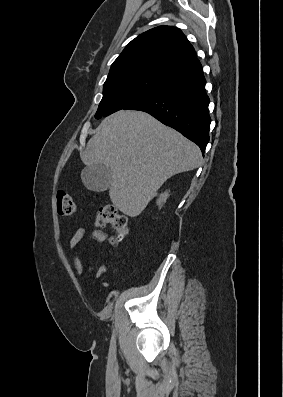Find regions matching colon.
I'll return each instance as SVG.
<instances>
[{"label":"colon","instance_id":"colon-1","mask_svg":"<svg viewBox=\"0 0 283 397\" xmlns=\"http://www.w3.org/2000/svg\"><path fill=\"white\" fill-rule=\"evenodd\" d=\"M56 198L57 210L60 215L70 216L76 212L77 205L70 193L65 190H58ZM96 223L99 226L111 225L113 227L115 232L112 238L113 243L121 241L129 233L127 218L112 205H105L98 209Z\"/></svg>","mask_w":283,"mask_h":397}]
</instances>
